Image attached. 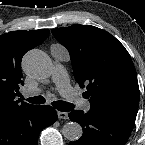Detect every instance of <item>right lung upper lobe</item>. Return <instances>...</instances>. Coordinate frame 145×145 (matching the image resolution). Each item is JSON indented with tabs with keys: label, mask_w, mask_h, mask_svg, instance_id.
<instances>
[{
	"label": "right lung upper lobe",
	"mask_w": 145,
	"mask_h": 145,
	"mask_svg": "<svg viewBox=\"0 0 145 145\" xmlns=\"http://www.w3.org/2000/svg\"><path fill=\"white\" fill-rule=\"evenodd\" d=\"M48 29L20 30L0 36V119L31 106L16 99L22 81L21 60L30 49L40 45Z\"/></svg>",
	"instance_id": "right-lung-upper-lobe-1"
}]
</instances>
